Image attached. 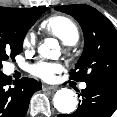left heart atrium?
I'll return each mask as SVG.
<instances>
[{
  "instance_id": "left-heart-atrium-1",
  "label": "left heart atrium",
  "mask_w": 117,
  "mask_h": 117,
  "mask_svg": "<svg viewBox=\"0 0 117 117\" xmlns=\"http://www.w3.org/2000/svg\"><path fill=\"white\" fill-rule=\"evenodd\" d=\"M63 70L60 62L38 61L30 66V73L43 81L50 82L55 79V75Z\"/></svg>"
}]
</instances>
